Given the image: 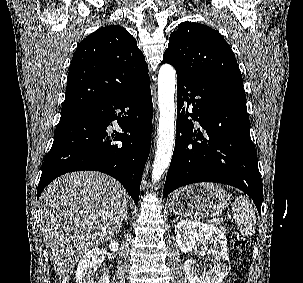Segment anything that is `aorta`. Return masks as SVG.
Returning a JSON list of instances; mask_svg holds the SVG:
<instances>
[{
  "label": "aorta",
  "instance_id": "762f6f07",
  "mask_svg": "<svg viewBox=\"0 0 303 283\" xmlns=\"http://www.w3.org/2000/svg\"><path fill=\"white\" fill-rule=\"evenodd\" d=\"M176 72L169 64H163L158 74V106L160 111L157 150L152 169V181L157 183L168 168L175 141L174 117Z\"/></svg>",
  "mask_w": 303,
  "mask_h": 283
}]
</instances>
